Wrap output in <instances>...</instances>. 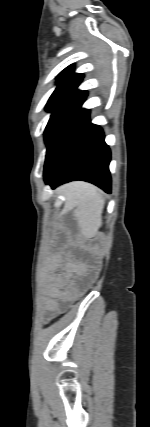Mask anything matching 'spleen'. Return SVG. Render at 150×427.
I'll use <instances>...</instances> for the list:
<instances>
[{
  "label": "spleen",
  "instance_id": "spleen-1",
  "mask_svg": "<svg viewBox=\"0 0 150 427\" xmlns=\"http://www.w3.org/2000/svg\"><path fill=\"white\" fill-rule=\"evenodd\" d=\"M66 204L75 207V216L82 233L87 237L97 234L102 224L105 198L95 186L85 182H75L64 190Z\"/></svg>",
  "mask_w": 150,
  "mask_h": 427
}]
</instances>
